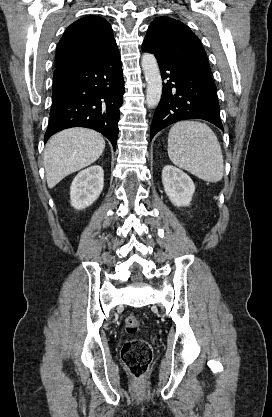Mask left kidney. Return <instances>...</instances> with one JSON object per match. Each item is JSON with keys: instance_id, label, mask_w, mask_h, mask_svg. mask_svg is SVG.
Returning a JSON list of instances; mask_svg holds the SVG:
<instances>
[{"instance_id": "left-kidney-1", "label": "left kidney", "mask_w": 272, "mask_h": 417, "mask_svg": "<svg viewBox=\"0 0 272 417\" xmlns=\"http://www.w3.org/2000/svg\"><path fill=\"white\" fill-rule=\"evenodd\" d=\"M164 191L173 205L189 206L195 192L192 179L182 170L166 165L162 170Z\"/></svg>"}]
</instances>
